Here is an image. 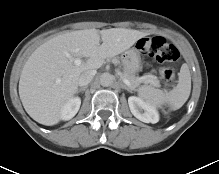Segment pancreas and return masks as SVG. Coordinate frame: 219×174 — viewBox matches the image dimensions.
<instances>
[{"label":"pancreas","mask_w":219,"mask_h":174,"mask_svg":"<svg viewBox=\"0 0 219 174\" xmlns=\"http://www.w3.org/2000/svg\"><path fill=\"white\" fill-rule=\"evenodd\" d=\"M146 79H141V77H136L134 74H131L127 71H124L123 73H121V78L123 79H127L130 82V87L131 89L136 88L140 83L144 82V83H151L154 86H159V80L157 79L156 76L153 75H146L143 76Z\"/></svg>","instance_id":"1"}]
</instances>
